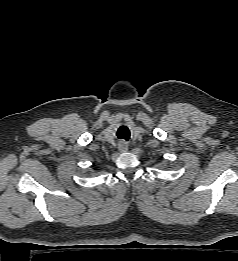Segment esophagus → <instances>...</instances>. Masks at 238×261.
Here are the masks:
<instances>
[{
	"mask_svg": "<svg viewBox=\"0 0 238 261\" xmlns=\"http://www.w3.org/2000/svg\"><path fill=\"white\" fill-rule=\"evenodd\" d=\"M128 147H129V144L125 141H121L119 144H118V149L120 152H126L128 151Z\"/></svg>",
	"mask_w": 238,
	"mask_h": 261,
	"instance_id": "obj_1",
	"label": "esophagus"
}]
</instances>
